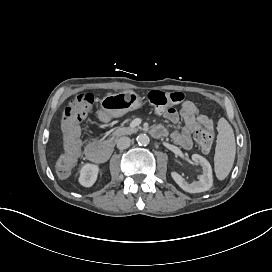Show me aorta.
<instances>
[{
	"label": "aorta",
	"instance_id": "762f6f07",
	"mask_svg": "<svg viewBox=\"0 0 272 272\" xmlns=\"http://www.w3.org/2000/svg\"><path fill=\"white\" fill-rule=\"evenodd\" d=\"M136 140L139 145H147L149 143V137L147 134H139Z\"/></svg>",
	"mask_w": 272,
	"mask_h": 272
}]
</instances>
